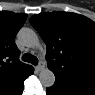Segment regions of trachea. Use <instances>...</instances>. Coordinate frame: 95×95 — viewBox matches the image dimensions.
Masks as SVG:
<instances>
[{
	"label": "trachea",
	"instance_id": "1",
	"mask_svg": "<svg viewBox=\"0 0 95 95\" xmlns=\"http://www.w3.org/2000/svg\"><path fill=\"white\" fill-rule=\"evenodd\" d=\"M22 60L25 61V62H30L33 65L38 64V58L36 56H33V55L29 54V53H25L22 56Z\"/></svg>",
	"mask_w": 95,
	"mask_h": 95
}]
</instances>
